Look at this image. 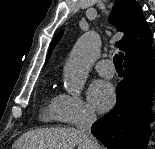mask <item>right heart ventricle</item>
Returning a JSON list of instances; mask_svg holds the SVG:
<instances>
[{"instance_id": "1", "label": "right heart ventricle", "mask_w": 155, "mask_h": 149, "mask_svg": "<svg viewBox=\"0 0 155 149\" xmlns=\"http://www.w3.org/2000/svg\"><path fill=\"white\" fill-rule=\"evenodd\" d=\"M42 119L44 121H54L59 120V110H58V98L51 97L47 98L43 110H42Z\"/></svg>"}]
</instances>
